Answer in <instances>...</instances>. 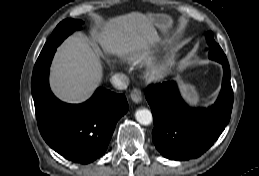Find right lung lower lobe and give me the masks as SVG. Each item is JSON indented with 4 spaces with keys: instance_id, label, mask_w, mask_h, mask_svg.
Here are the masks:
<instances>
[{
    "instance_id": "obj_1",
    "label": "right lung lower lobe",
    "mask_w": 259,
    "mask_h": 176,
    "mask_svg": "<svg viewBox=\"0 0 259 176\" xmlns=\"http://www.w3.org/2000/svg\"><path fill=\"white\" fill-rule=\"evenodd\" d=\"M56 47L40 53L32 74V95L40 133L46 143L64 158L90 163L102 156L117 121L127 112L124 94L98 88L82 104L58 100L49 88V67Z\"/></svg>"
}]
</instances>
